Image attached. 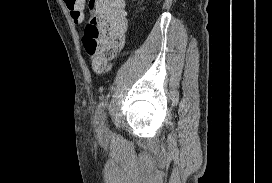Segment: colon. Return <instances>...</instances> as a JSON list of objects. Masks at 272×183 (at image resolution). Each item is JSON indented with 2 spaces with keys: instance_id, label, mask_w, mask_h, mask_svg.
Segmentation results:
<instances>
[{
  "instance_id": "5ec220e1",
  "label": "colon",
  "mask_w": 272,
  "mask_h": 183,
  "mask_svg": "<svg viewBox=\"0 0 272 183\" xmlns=\"http://www.w3.org/2000/svg\"><path fill=\"white\" fill-rule=\"evenodd\" d=\"M76 23L86 17L83 47L93 68L104 71L121 50L126 28L125 0H64ZM86 12V14H85Z\"/></svg>"
}]
</instances>
